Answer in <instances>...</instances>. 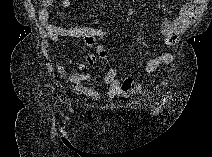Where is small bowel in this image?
Instances as JSON below:
<instances>
[{
	"label": "small bowel",
	"mask_w": 212,
	"mask_h": 157,
	"mask_svg": "<svg viewBox=\"0 0 212 157\" xmlns=\"http://www.w3.org/2000/svg\"><path fill=\"white\" fill-rule=\"evenodd\" d=\"M61 5L64 9L71 7V0H62ZM199 3L196 1H188L184 3L172 19L165 20L161 24V32L163 43L167 46H173L177 43L180 33L189 25L199 10ZM38 17L51 42H58L61 37H107L111 34L109 30L98 28L76 26L61 27L48 22L49 12L45 8L38 11ZM173 63V56L170 53H162L150 59L143 68L144 74L154 73L160 66H170ZM59 74L72 82L74 89L82 96L92 100H112L118 96H126L134 91H140L141 87L134 82L132 78L120 80L117 77V70L114 67L108 69L104 77V84L108 91L102 96L95 88L92 77L87 73H78L69 75L63 64L57 67ZM88 84L89 86H85Z\"/></svg>",
	"instance_id": "c3829d8e"
}]
</instances>
